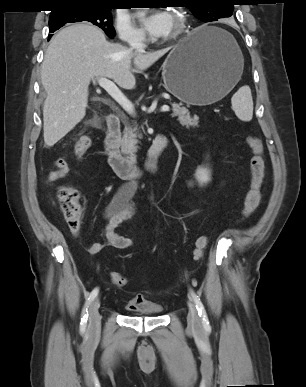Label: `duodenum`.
<instances>
[{
  "label": "duodenum",
  "instance_id": "obj_1",
  "mask_svg": "<svg viewBox=\"0 0 306 387\" xmlns=\"http://www.w3.org/2000/svg\"><path fill=\"white\" fill-rule=\"evenodd\" d=\"M108 131L104 141V152L108 164L122 179L134 181L144 172L155 174L158 172V158L167 146L166 136L157 135L147 152L143 167H140L133 157L125 156L119 149V139L121 135V124L119 117L111 114L107 118Z\"/></svg>",
  "mask_w": 306,
  "mask_h": 387
}]
</instances>
